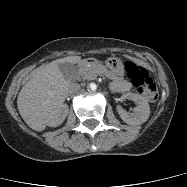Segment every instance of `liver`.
I'll return each instance as SVG.
<instances>
[{
	"mask_svg": "<svg viewBox=\"0 0 187 187\" xmlns=\"http://www.w3.org/2000/svg\"><path fill=\"white\" fill-rule=\"evenodd\" d=\"M80 60V56L61 58L32 72L17 98L19 113L30 128L43 131L69 94L70 81L61 73L58 64H76Z\"/></svg>",
	"mask_w": 187,
	"mask_h": 187,
	"instance_id": "liver-1",
	"label": "liver"
}]
</instances>
